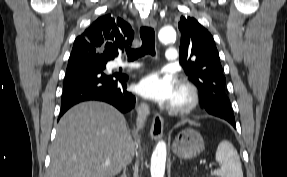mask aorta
<instances>
[{
  "mask_svg": "<svg viewBox=\"0 0 287 177\" xmlns=\"http://www.w3.org/2000/svg\"><path fill=\"white\" fill-rule=\"evenodd\" d=\"M176 38V32L171 27H164L158 33V39L162 43H169ZM167 147L164 141H159L151 157V177H164Z\"/></svg>",
  "mask_w": 287,
  "mask_h": 177,
  "instance_id": "1",
  "label": "aorta"
}]
</instances>
